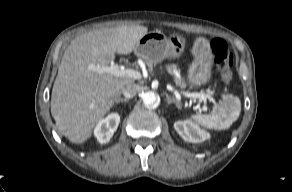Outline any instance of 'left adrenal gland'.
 Returning a JSON list of instances; mask_svg holds the SVG:
<instances>
[{"instance_id":"a2214340","label":"left adrenal gland","mask_w":292,"mask_h":192,"mask_svg":"<svg viewBox=\"0 0 292 192\" xmlns=\"http://www.w3.org/2000/svg\"><path fill=\"white\" fill-rule=\"evenodd\" d=\"M166 100H167V103L170 105V104H175L177 108H181L182 105L180 102H178L175 98H171L169 96L166 97Z\"/></svg>"}]
</instances>
